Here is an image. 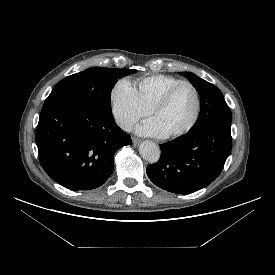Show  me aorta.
<instances>
[{"label":"aorta","mask_w":275,"mask_h":275,"mask_svg":"<svg viewBox=\"0 0 275 275\" xmlns=\"http://www.w3.org/2000/svg\"><path fill=\"white\" fill-rule=\"evenodd\" d=\"M139 152L144 160L153 164L160 158V148L152 141H144L139 148Z\"/></svg>","instance_id":"aorta-1"}]
</instances>
